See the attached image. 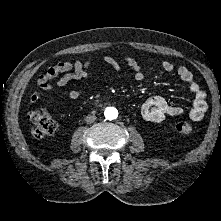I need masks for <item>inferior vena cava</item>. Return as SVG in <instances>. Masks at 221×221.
<instances>
[{
  "instance_id": "obj_1",
  "label": "inferior vena cava",
  "mask_w": 221,
  "mask_h": 221,
  "mask_svg": "<svg viewBox=\"0 0 221 221\" xmlns=\"http://www.w3.org/2000/svg\"><path fill=\"white\" fill-rule=\"evenodd\" d=\"M96 120V116L95 115H88V116H86V118H85V122L86 123H93L94 121Z\"/></svg>"
}]
</instances>
